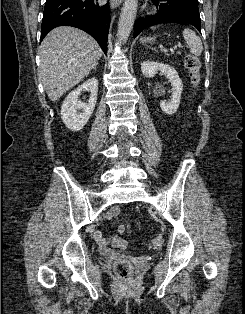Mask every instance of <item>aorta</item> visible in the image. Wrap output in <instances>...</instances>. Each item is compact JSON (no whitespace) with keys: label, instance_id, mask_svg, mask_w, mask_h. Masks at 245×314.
I'll return each instance as SVG.
<instances>
[{"label":"aorta","instance_id":"aorta-1","mask_svg":"<svg viewBox=\"0 0 245 314\" xmlns=\"http://www.w3.org/2000/svg\"><path fill=\"white\" fill-rule=\"evenodd\" d=\"M138 7V0H125L121 10L117 35L121 41L125 42L131 33L134 25Z\"/></svg>","mask_w":245,"mask_h":314}]
</instances>
